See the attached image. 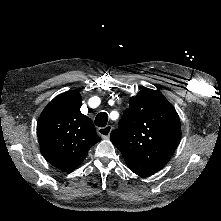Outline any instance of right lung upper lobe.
Segmentation results:
<instances>
[{"instance_id":"1","label":"right lung upper lobe","mask_w":221,"mask_h":221,"mask_svg":"<svg viewBox=\"0 0 221 221\" xmlns=\"http://www.w3.org/2000/svg\"><path fill=\"white\" fill-rule=\"evenodd\" d=\"M81 103L77 91L60 94L45 107L37 124L42 155L64 172L77 168L101 140L92 121L80 112Z\"/></svg>"}]
</instances>
